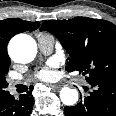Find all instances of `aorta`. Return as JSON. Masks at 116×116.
Here are the masks:
<instances>
[{"mask_svg": "<svg viewBox=\"0 0 116 116\" xmlns=\"http://www.w3.org/2000/svg\"><path fill=\"white\" fill-rule=\"evenodd\" d=\"M10 57L18 63L31 62L37 52L35 40L25 34L17 35L8 46ZM60 99L63 104L73 106L78 101V91L73 88L63 87L60 91Z\"/></svg>", "mask_w": 116, "mask_h": 116, "instance_id": "1", "label": "aorta"}]
</instances>
